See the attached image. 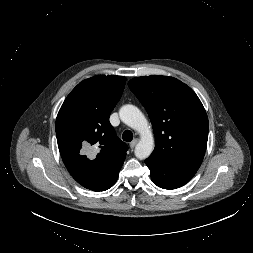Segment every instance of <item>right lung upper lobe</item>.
<instances>
[{"instance_id":"1","label":"right lung upper lobe","mask_w":253,"mask_h":253,"mask_svg":"<svg viewBox=\"0 0 253 253\" xmlns=\"http://www.w3.org/2000/svg\"><path fill=\"white\" fill-rule=\"evenodd\" d=\"M124 76L97 75L79 83L62 104L55 124L59 151L72 177L83 187L104 191L117 179L127 145L109 116L122 96ZM89 146L95 156L84 155Z\"/></svg>"}]
</instances>
